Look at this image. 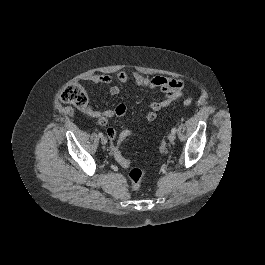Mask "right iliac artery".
I'll return each instance as SVG.
<instances>
[{"mask_svg": "<svg viewBox=\"0 0 265 265\" xmlns=\"http://www.w3.org/2000/svg\"><path fill=\"white\" fill-rule=\"evenodd\" d=\"M98 136H99L100 138H102V137H103V133L100 132V133L98 134Z\"/></svg>", "mask_w": 265, "mask_h": 265, "instance_id": "82829eb1", "label": "right iliac artery"}]
</instances>
